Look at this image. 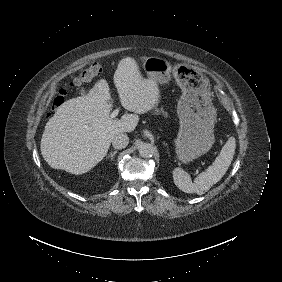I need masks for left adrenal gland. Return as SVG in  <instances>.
<instances>
[{
	"mask_svg": "<svg viewBox=\"0 0 282 282\" xmlns=\"http://www.w3.org/2000/svg\"><path fill=\"white\" fill-rule=\"evenodd\" d=\"M162 143L166 146V148H167V154H168V156H170V151H169V145H168V143H167L166 141H163Z\"/></svg>",
	"mask_w": 282,
	"mask_h": 282,
	"instance_id": "left-adrenal-gland-1",
	"label": "left adrenal gland"
}]
</instances>
